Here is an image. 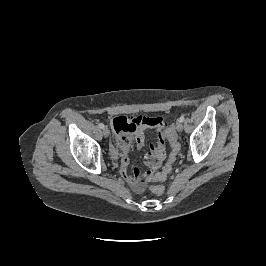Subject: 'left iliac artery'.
<instances>
[{"label":"left iliac artery","instance_id":"1","mask_svg":"<svg viewBox=\"0 0 266 266\" xmlns=\"http://www.w3.org/2000/svg\"><path fill=\"white\" fill-rule=\"evenodd\" d=\"M184 120H185L184 116H181V117L179 118V121H180V122H184Z\"/></svg>","mask_w":266,"mask_h":266}]
</instances>
